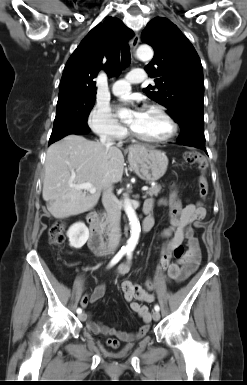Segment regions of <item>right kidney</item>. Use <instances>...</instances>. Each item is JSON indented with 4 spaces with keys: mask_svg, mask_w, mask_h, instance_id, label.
I'll return each mask as SVG.
<instances>
[{
    "mask_svg": "<svg viewBox=\"0 0 247 385\" xmlns=\"http://www.w3.org/2000/svg\"><path fill=\"white\" fill-rule=\"evenodd\" d=\"M67 237L71 247L80 249L89 238V230L83 222H78L69 228Z\"/></svg>",
    "mask_w": 247,
    "mask_h": 385,
    "instance_id": "ca27d5eb",
    "label": "right kidney"
}]
</instances>
